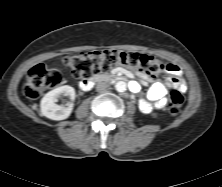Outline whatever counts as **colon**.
Segmentation results:
<instances>
[{
	"instance_id": "colon-1",
	"label": "colon",
	"mask_w": 222,
	"mask_h": 187,
	"mask_svg": "<svg viewBox=\"0 0 222 187\" xmlns=\"http://www.w3.org/2000/svg\"><path fill=\"white\" fill-rule=\"evenodd\" d=\"M63 62L72 70L76 78L83 81L89 80L94 75L107 73L116 66L138 70L147 76L158 75L167 69V65L155 56L118 50H98L66 56ZM61 82L62 77L57 70L38 64L27 75L24 94L30 99H35L44 91L59 86ZM184 101V95L180 90L171 91L168 103L169 112L174 115L178 114Z\"/></svg>"
}]
</instances>
